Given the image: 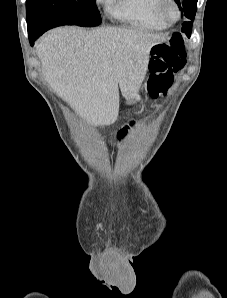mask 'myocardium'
<instances>
[{
	"label": "myocardium",
	"instance_id": "1",
	"mask_svg": "<svg viewBox=\"0 0 227 298\" xmlns=\"http://www.w3.org/2000/svg\"><path fill=\"white\" fill-rule=\"evenodd\" d=\"M168 4L174 7V17L168 16L165 11V7ZM155 13L162 21H164L168 25L178 22L181 17L180 5L176 0H157L155 4Z\"/></svg>",
	"mask_w": 227,
	"mask_h": 298
}]
</instances>
